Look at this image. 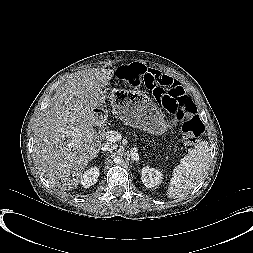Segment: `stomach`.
<instances>
[{
    "label": "stomach",
    "instance_id": "0dacf381",
    "mask_svg": "<svg viewBox=\"0 0 253 253\" xmlns=\"http://www.w3.org/2000/svg\"><path fill=\"white\" fill-rule=\"evenodd\" d=\"M113 114L125 124L161 135L168 125L153 100L138 92L113 89L108 96Z\"/></svg>",
    "mask_w": 253,
    "mask_h": 253
}]
</instances>
